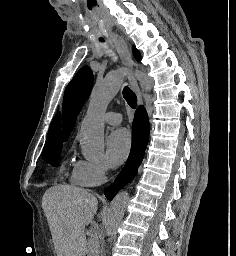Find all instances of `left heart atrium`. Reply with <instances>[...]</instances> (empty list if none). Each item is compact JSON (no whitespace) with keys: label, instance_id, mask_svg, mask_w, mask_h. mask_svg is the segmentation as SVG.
I'll return each mask as SVG.
<instances>
[{"label":"left heart atrium","instance_id":"obj_1","mask_svg":"<svg viewBox=\"0 0 236 256\" xmlns=\"http://www.w3.org/2000/svg\"><path fill=\"white\" fill-rule=\"evenodd\" d=\"M132 146L131 135L126 129H117L107 140V158L111 166H120L128 157Z\"/></svg>","mask_w":236,"mask_h":256}]
</instances>
